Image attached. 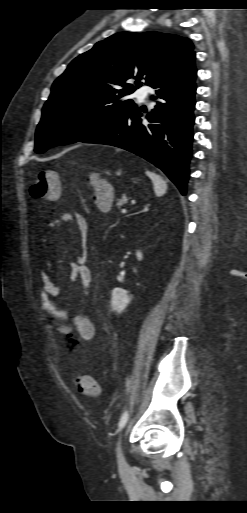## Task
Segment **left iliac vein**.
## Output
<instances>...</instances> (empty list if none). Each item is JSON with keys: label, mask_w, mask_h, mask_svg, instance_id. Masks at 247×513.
I'll list each match as a JSON object with an SVG mask.
<instances>
[{"label": "left iliac vein", "mask_w": 247, "mask_h": 513, "mask_svg": "<svg viewBox=\"0 0 247 513\" xmlns=\"http://www.w3.org/2000/svg\"><path fill=\"white\" fill-rule=\"evenodd\" d=\"M122 437L120 436L118 442H117V447H116V452H117V462H118V467H119V470L120 471H125L128 467V464L125 460V456H124V453H123V450H122Z\"/></svg>", "instance_id": "obj_1"}]
</instances>
